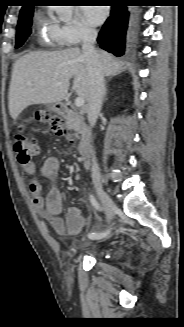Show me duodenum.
Returning a JSON list of instances; mask_svg holds the SVG:
<instances>
[{"mask_svg":"<svg viewBox=\"0 0 184 327\" xmlns=\"http://www.w3.org/2000/svg\"><path fill=\"white\" fill-rule=\"evenodd\" d=\"M58 113L65 117H76L79 120L80 126L82 128V137L78 146V152L85 165H88L91 160V135L88 126L84 123L83 112L75 113L68 105L60 104L57 107Z\"/></svg>","mask_w":184,"mask_h":327,"instance_id":"duodenum-1","label":"duodenum"}]
</instances>
